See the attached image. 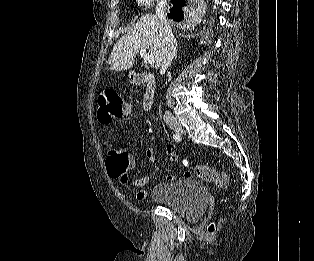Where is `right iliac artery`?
<instances>
[{
  "mask_svg": "<svg viewBox=\"0 0 314 261\" xmlns=\"http://www.w3.org/2000/svg\"><path fill=\"white\" fill-rule=\"evenodd\" d=\"M173 139H174L175 141H177V142L181 141V137H180V135H178V134H174V135H173Z\"/></svg>",
  "mask_w": 314,
  "mask_h": 261,
  "instance_id": "obj_1",
  "label": "right iliac artery"
}]
</instances>
